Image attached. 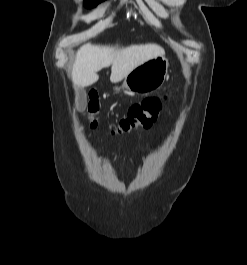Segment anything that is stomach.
I'll return each mask as SVG.
<instances>
[{"label": "stomach", "instance_id": "obj_1", "mask_svg": "<svg viewBox=\"0 0 247 265\" xmlns=\"http://www.w3.org/2000/svg\"><path fill=\"white\" fill-rule=\"evenodd\" d=\"M168 67V59L164 55L150 59L124 78L122 88L138 94L152 93L165 82ZM115 90L120 91V88L116 87Z\"/></svg>", "mask_w": 247, "mask_h": 265}]
</instances>
